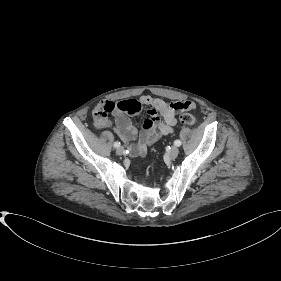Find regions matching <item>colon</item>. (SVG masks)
Returning a JSON list of instances; mask_svg holds the SVG:
<instances>
[{"instance_id":"colon-1","label":"colon","mask_w":281,"mask_h":281,"mask_svg":"<svg viewBox=\"0 0 281 281\" xmlns=\"http://www.w3.org/2000/svg\"><path fill=\"white\" fill-rule=\"evenodd\" d=\"M184 107L189 108L190 103H186ZM121 110H126L128 113H134L141 110V106L137 102H131L128 105L120 102L117 104H109L102 109H99L95 112V124L98 128H102L107 123V118L110 115L115 114ZM180 122L186 126L193 127L196 123V120L193 115L189 113H183L179 117Z\"/></svg>"}]
</instances>
